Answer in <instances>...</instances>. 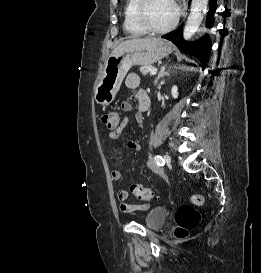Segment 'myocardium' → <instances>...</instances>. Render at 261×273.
<instances>
[{
	"instance_id": "myocardium-1",
	"label": "myocardium",
	"mask_w": 261,
	"mask_h": 273,
	"mask_svg": "<svg viewBox=\"0 0 261 273\" xmlns=\"http://www.w3.org/2000/svg\"><path fill=\"white\" fill-rule=\"evenodd\" d=\"M150 3V0H138L135 10H134V18L137 24L144 29L146 32L151 33H166L172 30L178 23L179 14H176L174 20L164 27H155L152 26L145 18V10Z\"/></svg>"
}]
</instances>
